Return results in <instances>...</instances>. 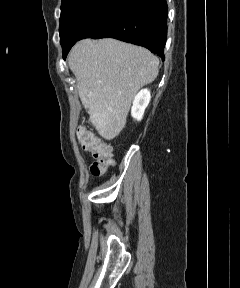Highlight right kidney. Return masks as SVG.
I'll return each instance as SVG.
<instances>
[{"instance_id": "obj_1", "label": "right kidney", "mask_w": 240, "mask_h": 288, "mask_svg": "<svg viewBox=\"0 0 240 288\" xmlns=\"http://www.w3.org/2000/svg\"><path fill=\"white\" fill-rule=\"evenodd\" d=\"M151 99L150 91L148 89L141 90L134 98L133 106L131 108V115L137 121H140L144 115V111Z\"/></svg>"}]
</instances>
